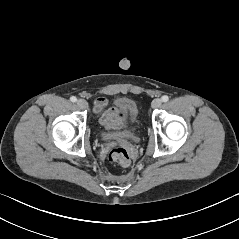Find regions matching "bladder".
<instances>
[{
  "label": "bladder",
  "mask_w": 239,
  "mask_h": 239,
  "mask_svg": "<svg viewBox=\"0 0 239 239\" xmlns=\"http://www.w3.org/2000/svg\"><path fill=\"white\" fill-rule=\"evenodd\" d=\"M118 105L128 116L131 124H136L138 121V108L136 103L131 99L122 98L118 100ZM130 133L127 130H115L109 133H103V138L106 140L120 139L129 136Z\"/></svg>",
  "instance_id": "1"
}]
</instances>
